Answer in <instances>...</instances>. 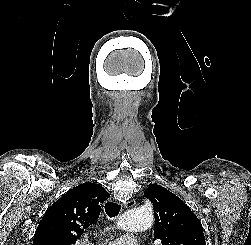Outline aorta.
Here are the masks:
<instances>
[{"label": "aorta", "instance_id": "762f6f07", "mask_svg": "<svg viewBox=\"0 0 251 245\" xmlns=\"http://www.w3.org/2000/svg\"><path fill=\"white\" fill-rule=\"evenodd\" d=\"M151 209L136 207L126 211L116 223V227L126 232H137L150 228L153 224Z\"/></svg>", "mask_w": 251, "mask_h": 245}]
</instances>
